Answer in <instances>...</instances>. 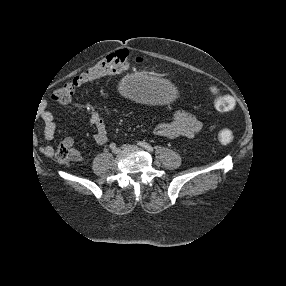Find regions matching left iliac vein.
<instances>
[{
  "instance_id": "obj_1",
  "label": "left iliac vein",
  "mask_w": 286,
  "mask_h": 286,
  "mask_svg": "<svg viewBox=\"0 0 286 286\" xmlns=\"http://www.w3.org/2000/svg\"><path fill=\"white\" fill-rule=\"evenodd\" d=\"M133 148V147H136V145H132V144H124L123 146H122V149H129V148Z\"/></svg>"
}]
</instances>
